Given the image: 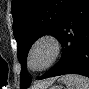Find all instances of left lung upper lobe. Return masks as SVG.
<instances>
[{"mask_svg":"<svg viewBox=\"0 0 89 89\" xmlns=\"http://www.w3.org/2000/svg\"><path fill=\"white\" fill-rule=\"evenodd\" d=\"M71 0H12L13 33L18 44V59L22 65L21 89L31 78L26 71L27 53L36 39L50 34L58 36Z\"/></svg>","mask_w":89,"mask_h":89,"instance_id":"1","label":"left lung upper lobe"}]
</instances>
